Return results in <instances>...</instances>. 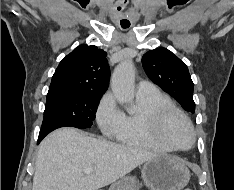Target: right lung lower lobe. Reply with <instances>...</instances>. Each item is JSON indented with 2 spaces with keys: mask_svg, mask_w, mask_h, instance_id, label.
Returning <instances> with one entry per match:
<instances>
[{
  "mask_svg": "<svg viewBox=\"0 0 234 190\" xmlns=\"http://www.w3.org/2000/svg\"><path fill=\"white\" fill-rule=\"evenodd\" d=\"M44 137H45V136L39 135L38 143H39Z\"/></svg>",
  "mask_w": 234,
  "mask_h": 190,
  "instance_id": "right-lung-lower-lobe-1",
  "label": "right lung lower lobe"
}]
</instances>
